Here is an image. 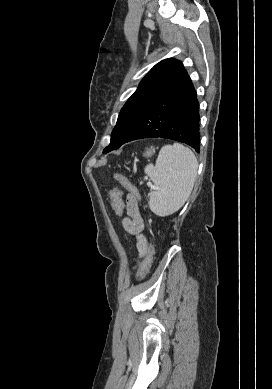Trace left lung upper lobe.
Segmentation results:
<instances>
[{"instance_id": "left-lung-upper-lobe-1", "label": "left lung upper lobe", "mask_w": 272, "mask_h": 389, "mask_svg": "<svg viewBox=\"0 0 272 389\" xmlns=\"http://www.w3.org/2000/svg\"><path fill=\"white\" fill-rule=\"evenodd\" d=\"M184 70L176 59H165L157 63L142 79L139 87L121 109L117 124L111 134L110 144L103 153L118 149L141 119L148 103L165 85Z\"/></svg>"}]
</instances>
